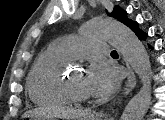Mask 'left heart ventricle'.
I'll use <instances>...</instances> for the list:
<instances>
[{"label": "left heart ventricle", "mask_w": 165, "mask_h": 120, "mask_svg": "<svg viewBox=\"0 0 165 120\" xmlns=\"http://www.w3.org/2000/svg\"><path fill=\"white\" fill-rule=\"evenodd\" d=\"M71 85L80 93L91 96L92 93L89 90L87 84V75L83 71H75L68 76Z\"/></svg>", "instance_id": "left-heart-ventricle-1"}]
</instances>
